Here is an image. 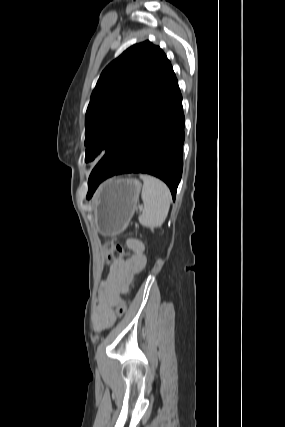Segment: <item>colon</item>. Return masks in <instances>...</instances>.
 Returning a JSON list of instances; mask_svg holds the SVG:
<instances>
[{
	"label": "colon",
	"instance_id": "1",
	"mask_svg": "<svg viewBox=\"0 0 285 427\" xmlns=\"http://www.w3.org/2000/svg\"><path fill=\"white\" fill-rule=\"evenodd\" d=\"M103 254L106 261L117 260L125 255V251L120 244L107 242L103 245ZM125 300H120L116 308V317H121L126 312Z\"/></svg>",
	"mask_w": 285,
	"mask_h": 427
}]
</instances>
